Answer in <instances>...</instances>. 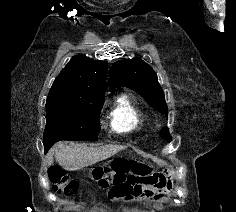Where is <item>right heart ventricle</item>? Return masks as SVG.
I'll return each mask as SVG.
<instances>
[{"label":"right heart ventricle","mask_w":236,"mask_h":212,"mask_svg":"<svg viewBox=\"0 0 236 212\" xmlns=\"http://www.w3.org/2000/svg\"><path fill=\"white\" fill-rule=\"evenodd\" d=\"M141 111L135 101L127 94L119 96L111 113V126L116 132H129L136 129L141 122Z\"/></svg>","instance_id":"obj_1"}]
</instances>
